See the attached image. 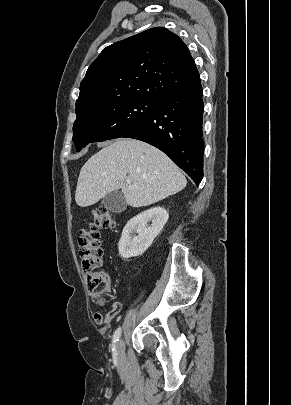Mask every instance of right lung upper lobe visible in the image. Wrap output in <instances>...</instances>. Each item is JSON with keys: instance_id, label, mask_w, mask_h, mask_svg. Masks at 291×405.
<instances>
[{"instance_id": "cb5924a9", "label": "right lung upper lobe", "mask_w": 291, "mask_h": 405, "mask_svg": "<svg viewBox=\"0 0 291 405\" xmlns=\"http://www.w3.org/2000/svg\"><path fill=\"white\" fill-rule=\"evenodd\" d=\"M199 77L186 44L166 28H151L100 53L80 84L76 111L127 97L157 100Z\"/></svg>"}]
</instances>
